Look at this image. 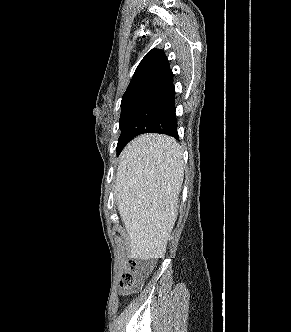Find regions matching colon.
<instances>
[{"mask_svg": "<svg viewBox=\"0 0 291 332\" xmlns=\"http://www.w3.org/2000/svg\"><path fill=\"white\" fill-rule=\"evenodd\" d=\"M150 270L147 263L131 261L127 264L125 272L120 279V287L124 292L137 290Z\"/></svg>", "mask_w": 291, "mask_h": 332, "instance_id": "5ec220e1", "label": "colon"}]
</instances>
